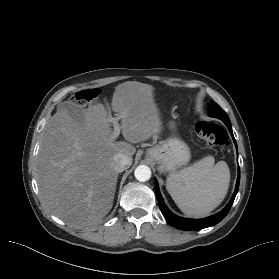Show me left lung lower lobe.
<instances>
[{
	"instance_id": "obj_1",
	"label": "left lung lower lobe",
	"mask_w": 279,
	"mask_h": 279,
	"mask_svg": "<svg viewBox=\"0 0 279 279\" xmlns=\"http://www.w3.org/2000/svg\"><path fill=\"white\" fill-rule=\"evenodd\" d=\"M225 125L228 127V130L231 133V136L237 147V144L234 139L233 132H232L231 122L226 123ZM239 182H240V169H239V174H238V178H237L236 188H235L234 194H233L230 202L228 203V205L222 211H220L219 213H217L211 217L204 218V219H197V220L181 218V217H178V216L174 215L173 213H171L168 210V208L166 207V205L164 204V201L159 192L157 183L155 184V191H156V197L158 200L160 210H161L164 218L167 220V222L171 226L181 229V230H200V229L207 228V227L217 224L228 214V212L233 204V201L236 197V194L238 192Z\"/></svg>"
}]
</instances>
